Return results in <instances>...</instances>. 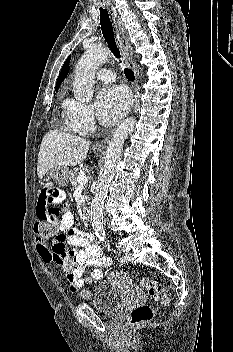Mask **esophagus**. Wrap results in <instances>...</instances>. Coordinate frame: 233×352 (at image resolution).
I'll use <instances>...</instances> for the list:
<instances>
[{"label": "esophagus", "instance_id": "obj_1", "mask_svg": "<svg viewBox=\"0 0 233 352\" xmlns=\"http://www.w3.org/2000/svg\"><path fill=\"white\" fill-rule=\"evenodd\" d=\"M113 18H114V24H115V38H116L117 45L122 53L123 60L129 68L137 72L136 64L132 60V57L129 52L124 23L119 18H117L116 15H114ZM112 133L113 132L109 133L101 142L97 143L96 146L100 148H106L110 141Z\"/></svg>", "mask_w": 233, "mask_h": 352}]
</instances>
